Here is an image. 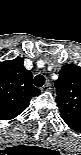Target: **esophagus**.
I'll list each match as a JSON object with an SVG mask.
<instances>
[{
    "label": "esophagus",
    "mask_w": 81,
    "mask_h": 155,
    "mask_svg": "<svg viewBox=\"0 0 81 155\" xmlns=\"http://www.w3.org/2000/svg\"><path fill=\"white\" fill-rule=\"evenodd\" d=\"M51 90V86L50 84H45L42 88H41V91L42 92H46V91H50Z\"/></svg>",
    "instance_id": "esophagus-1"
}]
</instances>
